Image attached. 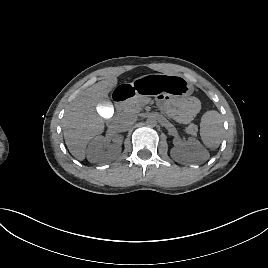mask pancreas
I'll return each mask as SVG.
<instances>
[{
  "label": "pancreas",
  "instance_id": "cf45deb5",
  "mask_svg": "<svg viewBox=\"0 0 268 268\" xmlns=\"http://www.w3.org/2000/svg\"><path fill=\"white\" fill-rule=\"evenodd\" d=\"M149 101H150V99L148 97L137 95L136 97H134V98H132L130 100L122 102L119 105V110L123 114L137 113V112H140L142 110V108ZM195 129H196V126L191 124L188 127H186L185 132L193 133L195 131Z\"/></svg>",
  "mask_w": 268,
  "mask_h": 268
}]
</instances>
